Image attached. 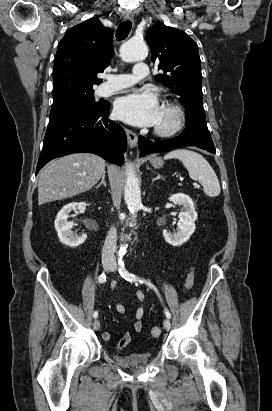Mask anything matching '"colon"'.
<instances>
[{
    "label": "colon",
    "instance_id": "obj_1",
    "mask_svg": "<svg viewBox=\"0 0 272 411\" xmlns=\"http://www.w3.org/2000/svg\"><path fill=\"white\" fill-rule=\"evenodd\" d=\"M194 282V271H191L186 279L185 287L186 289H190ZM162 330L160 327H153L150 331V335L152 338L157 339L161 336Z\"/></svg>",
    "mask_w": 272,
    "mask_h": 411
}]
</instances>
